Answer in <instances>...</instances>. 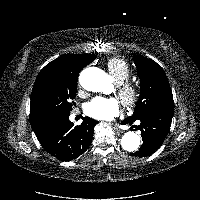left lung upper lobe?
Listing matches in <instances>:
<instances>
[{"label": "left lung upper lobe", "instance_id": "1", "mask_svg": "<svg viewBox=\"0 0 200 200\" xmlns=\"http://www.w3.org/2000/svg\"><path fill=\"white\" fill-rule=\"evenodd\" d=\"M134 63L141 81L139 101L133 115L135 120L148 112H155L164 118H172L174 102L165 72L158 63L142 55L134 54Z\"/></svg>", "mask_w": 200, "mask_h": 200}]
</instances>
